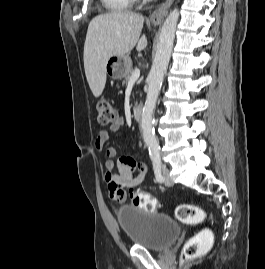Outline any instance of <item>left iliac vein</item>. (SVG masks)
I'll return each instance as SVG.
<instances>
[{
  "label": "left iliac vein",
  "mask_w": 265,
  "mask_h": 269,
  "mask_svg": "<svg viewBox=\"0 0 265 269\" xmlns=\"http://www.w3.org/2000/svg\"><path fill=\"white\" fill-rule=\"evenodd\" d=\"M163 176H164V184L166 186H172L173 185V181L169 175V170L167 168H163Z\"/></svg>",
  "instance_id": "obj_1"
}]
</instances>
